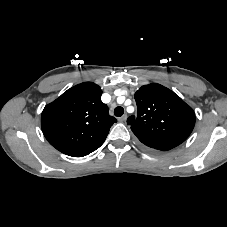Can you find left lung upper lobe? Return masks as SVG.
I'll use <instances>...</instances> for the list:
<instances>
[{
  "mask_svg": "<svg viewBox=\"0 0 227 227\" xmlns=\"http://www.w3.org/2000/svg\"><path fill=\"white\" fill-rule=\"evenodd\" d=\"M137 116H130L127 124L138 139L148 148L168 151L191 134L195 113L170 89L152 83L135 93Z\"/></svg>",
  "mask_w": 227,
  "mask_h": 227,
  "instance_id": "obj_1",
  "label": "left lung upper lobe"
}]
</instances>
